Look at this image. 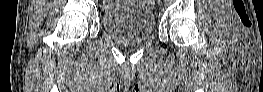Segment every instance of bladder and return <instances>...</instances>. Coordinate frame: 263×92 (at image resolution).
Returning a JSON list of instances; mask_svg holds the SVG:
<instances>
[{
  "label": "bladder",
  "instance_id": "obj_1",
  "mask_svg": "<svg viewBox=\"0 0 263 92\" xmlns=\"http://www.w3.org/2000/svg\"><path fill=\"white\" fill-rule=\"evenodd\" d=\"M140 1H121L124 6H113L102 16V23L108 35L125 46H134L146 40L155 27L154 15L150 9L137 4Z\"/></svg>",
  "mask_w": 263,
  "mask_h": 92
}]
</instances>
